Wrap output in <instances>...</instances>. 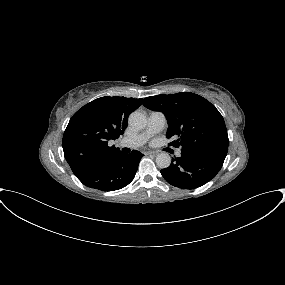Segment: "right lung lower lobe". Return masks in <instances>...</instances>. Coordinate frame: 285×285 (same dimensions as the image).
I'll return each instance as SVG.
<instances>
[{"mask_svg": "<svg viewBox=\"0 0 285 285\" xmlns=\"http://www.w3.org/2000/svg\"><path fill=\"white\" fill-rule=\"evenodd\" d=\"M142 156V153L135 150L130 154L121 151L84 168L75 176L90 188L118 190L134 179Z\"/></svg>", "mask_w": 285, "mask_h": 285, "instance_id": "right-lung-lower-lobe-1", "label": "right lung lower lobe"}]
</instances>
